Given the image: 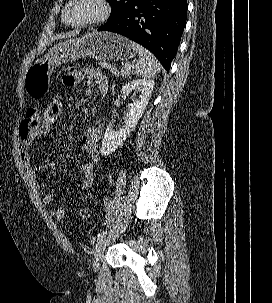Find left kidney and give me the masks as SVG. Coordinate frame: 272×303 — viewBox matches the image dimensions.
Wrapping results in <instances>:
<instances>
[{
  "mask_svg": "<svg viewBox=\"0 0 272 303\" xmlns=\"http://www.w3.org/2000/svg\"><path fill=\"white\" fill-rule=\"evenodd\" d=\"M154 85L155 82L153 80L137 79L126 83L122 87L123 94H128L132 90L139 91V99L134 103L127 105L128 112L124 124L118 131L112 130V124L107 126L100 148V153L102 155L106 156L114 152L122 145L130 132L135 128L148 104Z\"/></svg>",
  "mask_w": 272,
  "mask_h": 303,
  "instance_id": "5707ae66",
  "label": "left kidney"
}]
</instances>
